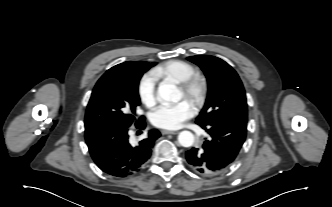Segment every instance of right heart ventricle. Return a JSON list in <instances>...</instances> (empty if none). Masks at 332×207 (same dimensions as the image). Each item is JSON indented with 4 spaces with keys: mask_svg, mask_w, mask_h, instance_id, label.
<instances>
[{
    "mask_svg": "<svg viewBox=\"0 0 332 207\" xmlns=\"http://www.w3.org/2000/svg\"><path fill=\"white\" fill-rule=\"evenodd\" d=\"M195 72V68L189 62L183 60H169L153 70V75L157 79L173 80L181 83Z\"/></svg>",
    "mask_w": 332,
    "mask_h": 207,
    "instance_id": "obj_1",
    "label": "right heart ventricle"
}]
</instances>
